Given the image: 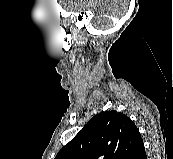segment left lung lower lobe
Segmentation results:
<instances>
[{"mask_svg": "<svg viewBox=\"0 0 173 159\" xmlns=\"http://www.w3.org/2000/svg\"><path fill=\"white\" fill-rule=\"evenodd\" d=\"M128 159H147L145 153V147L143 142L138 146V148L130 155Z\"/></svg>", "mask_w": 173, "mask_h": 159, "instance_id": "left-lung-lower-lobe-1", "label": "left lung lower lobe"}]
</instances>
